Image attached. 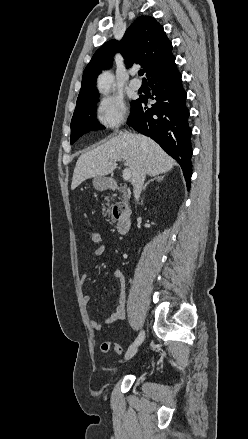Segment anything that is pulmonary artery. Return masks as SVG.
Masks as SVG:
<instances>
[{
  "instance_id": "e3ab8cb5",
  "label": "pulmonary artery",
  "mask_w": 248,
  "mask_h": 439,
  "mask_svg": "<svg viewBox=\"0 0 248 439\" xmlns=\"http://www.w3.org/2000/svg\"><path fill=\"white\" fill-rule=\"evenodd\" d=\"M130 75L132 78L129 81V87L133 90H138L141 87V82L135 78V71H131Z\"/></svg>"
}]
</instances>
